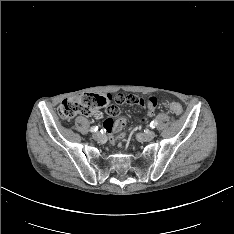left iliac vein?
I'll list each match as a JSON object with an SVG mask.
<instances>
[{
	"label": "left iliac vein",
	"instance_id": "4c4485c4",
	"mask_svg": "<svg viewBox=\"0 0 234 234\" xmlns=\"http://www.w3.org/2000/svg\"><path fill=\"white\" fill-rule=\"evenodd\" d=\"M155 136H156L155 132L151 130L144 134H138L137 138L141 141L149 142L153 140Z\"/></svg>",
	"mask_w": 234,
	"mask_h": 234
}]
</instances>
